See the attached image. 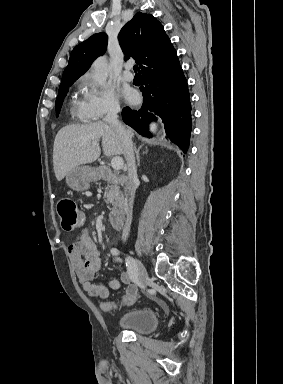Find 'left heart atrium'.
<instances>
[{
    "label": "left heart atrium",
    "instance_id": "left-heart-atrium-1",
    "mask_svg": "<svg viewBox=\"0 0 283 384\" xmlns=\"http://www.w3.org/2000/svg\"><path fill=\"white\" fill-rule=\"evenodd\" d=\"M123 96L129 104H134L138 101V94L134 90L125 89L123 91Z\"/></svg>",
    "mask_w": 283,
    "mask_h": 384
}]
</instances>
